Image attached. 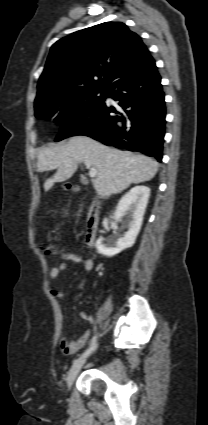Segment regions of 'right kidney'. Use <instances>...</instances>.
<instances>
[{"label":"right kidney","instance_id":"ca27d5eb","mask_svg":"<svg viewBox=\"0 0 208 425\" xmlns=\"http://www.w3.org/2000/svg\"><path fill=\"white\" fill-rule=\"evenodd\" d=\"M149 196L150 189L148 187L135 186L121 198L114 216L116 220L126 217L129 229L115 245H104L103 238L100 237L95 244L98 253L111 257L134 245L142 225Z\"/></svg>","mask_w":208,"mask_h":425}]
</instances>
